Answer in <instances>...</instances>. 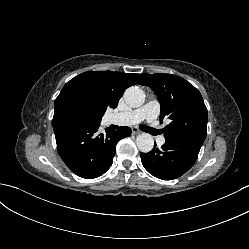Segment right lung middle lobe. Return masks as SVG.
Returning a JSON list of instances; mask_svg holds the SVG:
<instances>
[{
    "mask_svg": "<svg viewBox=\"0 0 249 249\" xmlns=\"http://www.w3.org/2000/svg\"><path fill=\"white\" fill-rule=\"evenodd\" d=\"M54 106L53 120L66 119L85 125H97L101 121L95 114L92 101L78 93L58 96Z\"/></svg>",
    "mask_w": 249,
    "mask_h": 249,
    "instance_id": "obj_1",
    "label": "right lung middle lobe"
}]
</instances>
